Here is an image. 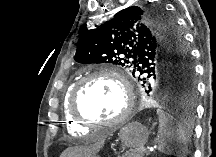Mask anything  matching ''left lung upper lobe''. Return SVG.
Listing matches in <instances>:
<instances>
[{"label": "left lung upper lobe", "mask_w": 216, "mask_h": 157, "mask_svg": "<svg viewBox=\"0 0 216 157\" xmlns=\"http://www.w3.org/2000/svg\"><path fill=\"white\" fill-rule=\"evenodd\" d=\"M74 60L79 63H110L145 74L156 87L194 105L196 85L189 51L176 23L163 8L145 4L130 6L114 18L83 35ZM152 90L149 85V93Z\"/></svg>", "instance_id": "obj_1"}]
</instances>
